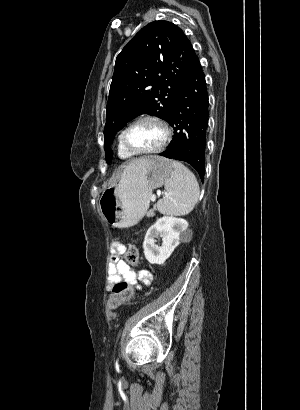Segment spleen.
<instances>
[{
    "label": "spleen",
    "mask_w": 300,
    "mask_h": 410,
    "mask_svg": "<svg viewBox=\"0 0 300 410\" xmlns=\"http://www.w3.org/2000/svg\"><path fill=\"white\" fill-rule=\"evenodd\" d=\"M171 178L165 182L167 195L158 202V210L168 215L190 213L199 199V185L194 174L178 161H172Z\"/></svg>",
    "instance_id": "spleen-1"
}]
</instances>
